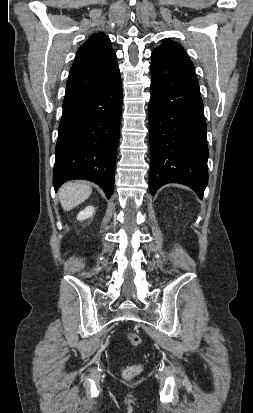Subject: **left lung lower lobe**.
Segmentation results:
<instances>
[{
    "label": "left lung lower lobe",
    "mask_w": 253,
    "mask_h": 413,
    "mask_svg": "<svg viewBox=\"0 0 253 413\" xmlns=\"http://www.w3.org/2000/svg\"><path fill=\"white\" fill-rule=\"evenodd\" d=\"M150 91V192L154 195L164 184L180 183L201 199L208 182V147L195 72L155 49Z\"/></svg>",
    "instance_id": "1"
}]
</instances>
